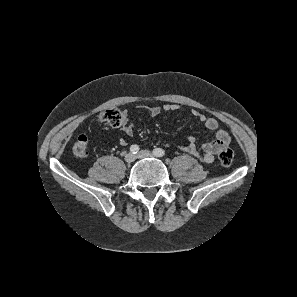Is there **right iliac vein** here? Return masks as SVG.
I'll return each instance as SVG.
<instances>
[{
    "label": "right iliac vein",
    "mask_w": 297,
    "mask_h": 297,
    "mask_svg": "<svg viewBox=\"0 0 297 297\" xmlns=\"http://www.w3.org/2000/svg\"><path fill=\"white\" fill-rule=\"evenodd\" d=\"M136 156L133 153H127L124 157V160L128 163L135 161Z\"/></svg>",
    "instance_id": "right-iliac-vein-1"
}]
</instances>
